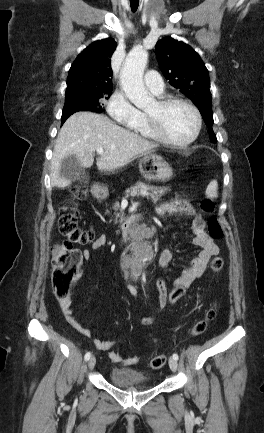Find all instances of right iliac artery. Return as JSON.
Wrapping results in <instances>:
<instances>
[{"label": "right iliac artery", "mask_w": 264, "mask_h": 433, "mask_svg": "<svg viewBox=\"0 0 264 433\" xmlns=\"http://www.w3.org/2000/svg\"><path fill=\"white\" fill-rule=\"evenodd\" d=\"M90 357H91V353L87 352L84 356L85 361H88L90 359Z\"/></svg>", "instance_id": "obj_1"}]
</instances>
